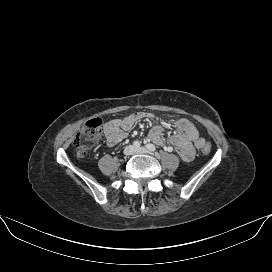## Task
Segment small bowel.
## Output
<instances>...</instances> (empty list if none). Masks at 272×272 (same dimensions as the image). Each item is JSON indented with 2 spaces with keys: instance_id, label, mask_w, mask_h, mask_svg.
<instances>
[{
  "instance_id": "small-bowel-1",
  "label": "small bowel",
  "mask_w": 272,
  "mask_h": 272,
  "mask_svg": "<svg viewBox=\"0 0 272 272\" xmlns=\"http://www.w3.org/2000/svg\"><path fill=\"white\" fill-rule=\"evenodd\" d=\"M142 120L153 121V126L149 133V138L162 144L163 127L155 122L154 116L146 112L131 113L123 118L110 120L104 124V132L109 146H115L127 137L128 131L135 123ZM177 132L173 133L168 141V150L175 149L184 161H191L195 155V149H200L205 145V139L200 135L195 125L185 118L176 120Z\"/></svg>"
}]
</instances>
